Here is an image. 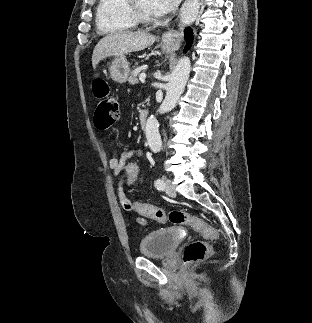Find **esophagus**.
<instances>
[{"label": "esophagus", "mask_w": 312, "mask_h": 323, "mask_svg": "<svg viewBox=\"0 0 312 323\" xmlns=\"http://www.w3.org/2000/svg\"><path fill=\"white\" fill-rule=\"evenodd\" d=\"M162 40L165 44L170 46L172 49H178L183 40V29L180 26L178 30H167L162 35Z\"/></svg>", "instance_id": "obj_1"}]
</instances>
